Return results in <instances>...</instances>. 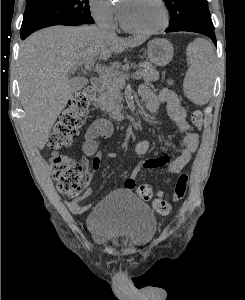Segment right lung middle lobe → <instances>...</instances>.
I'll return each mask as SVG.
<instances>
[{
	"label": "right lung middle lobe",
	"instance_id": "1",
	"mask_svg": "<svg viewBox=\"0 0 245 300\" xmlns=\"http://www.w3.org/2000/svg\"><path fill=\"white\" fill-rule=\"evenodd\" d=\"M91 23L89 0H27L20 35L53 25Z\"/></svg>",
	"mask_w": 245,
	"mask_h": 300
}]
</instances>
